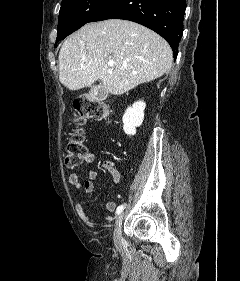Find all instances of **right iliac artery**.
I'll use <instances>...</instances> for the list:
<instances>
[{
  "instance_id": "right-iliac-artery-1",
  "label": "right iliac artery",
  "mask_w": 240,
  "mask_h": 281,
  "mask_svg": "<svg viewBox=\"0 0 240 281\" xmlns=\"http://www.w3.org/2000/svg\"><path fill=\"white\" fill-rule=\"evenodd\" d=\"M124 208H125V205H124V204L118 206V208H117V210H116V214L121 213V212L124 210Z\"/></svg>"
}]
</instances>
